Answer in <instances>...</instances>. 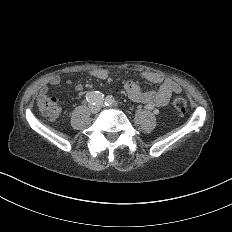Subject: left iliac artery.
<instances>
[{
	"label": "left iliac artery",
	"instance_id": "obj_1",
	"mask_svg": "<svg viewBox=\"0 0 232 232\" xmlns=\"http://www.w3.org/2000/svg\"><path fill=\"white\" fill-rule=\"evenodd\" d=\"M105 105L110 107L117 106L118 102L112 96H107L105 98Z\"/></svg>",
	"mask_w": 232,
	"mask_h": 232
}]
</instances>
